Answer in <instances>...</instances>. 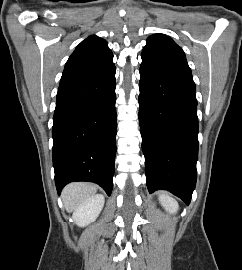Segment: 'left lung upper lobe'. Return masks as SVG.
<instances>
[{
	"label": "left lung upper lobe",
	"mask_w": 242,
	"mask_h": 270,
	"mask_svg": "<svg viewBox=\"0 0 242 270\" xmlns=\"http://www.w3.org/2000/svg\"><path fill=\"white\" fill-rule=\"evenodd\" d=\"M141 57L147 62L171 65L191 72L182 48L165 34L148 37Z\"/></svg>",
	"instance_id": "obj_1"
}]
</instances>
